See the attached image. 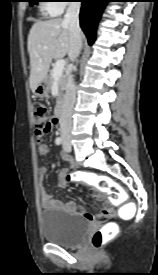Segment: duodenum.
<instances>
[{
    "instance_id": "obj_1",
    "label": "duodenum",
    "mask_w": 158,
    "mask_h": 275,
    "mask_svg": "<svg viewBox=\"0 0 158 275\" xmlns=\"http://www.w3.org/2000/svg\"><path fill=\"white\" fill-rule=\"evenodd\" d=\"M55 114H56L57 119H61L63 117V114H64V101H63V99L59 100Z\"/></svg>"
}]
</instances>
